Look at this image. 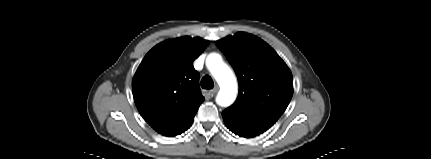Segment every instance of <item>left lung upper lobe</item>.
<instances>
[{"instance_id":"left-lung-upper-lobe-1","label":"left lung upper lobe","mask_w":431,"mask_h":159,"mask_svg":"<svg viewBox=\"0 0 431 159\" xmlns=\"http://www.w3.org/2000/svg\"><path fill=\"white\" fill-rule=\"evenodd\" d=\"M233 66L239 82L236 102L223 118L252 127L269 129L283 114L293 95L290 69L260 38L238 32L216 42Z\"/></svg>"}]
</instances>
